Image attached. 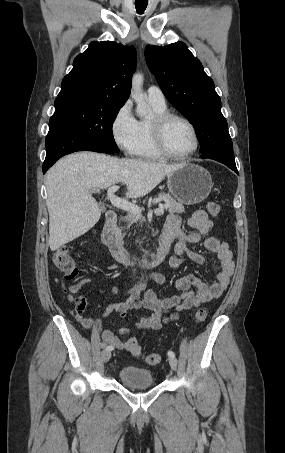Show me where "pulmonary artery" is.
<instances>
[{
	"mask_svg": "<svg viewBox=\"0 0 285 453\" xmlns=\"http://www.w3.org/2000/svg\"><path fill=\"white\" fill-rule=\"evenodd\" d=\"M147 98H148L149 102H152L154 104H157L160 106L166 105L164 93L158 86L151 85L147 89Z\"/></svg>",
	"mask_w": 285,
	"mask_h": 453,
	"instance_id": "e3ab8cb5",
	"label": "pulmonary artery"
}]
</instances>
